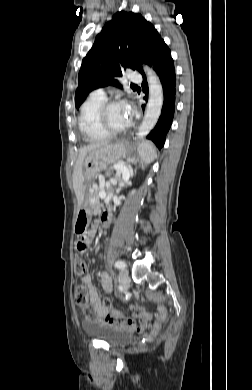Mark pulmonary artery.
<instances>
[{
    "label": "pulmonary artery",
    "mask_w": 252,
    "mask_h": 390,
    "mask_svg": "<svg viewBox=\"0 0 252 390\" xmlns=\"http://www.w3.org/2000/svg\"><path fill=\"white\" fill-rule=\"evenodd\" d=\"M129 80L132 81V82H138V81L141 80V77H140L139 74L131 72L130 75H129ZM91 95L97 96V97H101V98H106V94H105L104 90L101 89V88H98V89L94 90L91 93Z\"/></svg>",
    "instance_id": "obj_1"
}]
</instances>
